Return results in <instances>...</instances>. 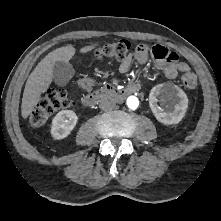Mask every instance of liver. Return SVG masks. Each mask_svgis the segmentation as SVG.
Returning <instances> with one entry per match:
<instances>
[{
	"label": "liver",
	"instance_id": "1",
	"mask_svg": "<svg viewBox=\"0 0 221 221\" xmlns=\"http://www.w3.org/2000/svg\"><path fill=\"white\" fill-rule=\"evenodd\" d=\"M97 45L84 46L80 49L81 53H87ZM75 48L72 46H63L57 48L45 56L29 75L22 98L21 114L26 119L33 112L35 106L50 86L53 80V67L55 62H69L75 54Z\"/></svg>",
	"mask_w": 221,
	"mask_h": 221
}]
</instances>
